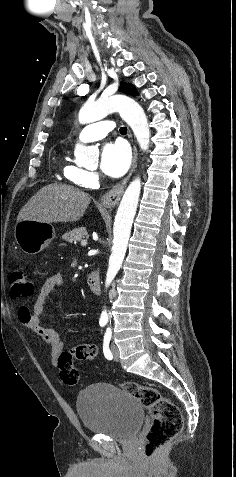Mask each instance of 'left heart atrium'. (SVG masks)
I'll use <instances>...</instances> for the list:
<instances>
[{"mask_svg":"<svg viewBox=\"0 0 236 477\" xmlns=\"http://www.w3.org/2000/svg\"><path fill=\"white\" fill-rule=\"evenodd\" d=\"M131 154L128 147L121 143H108L104 146L101 155V170L108 176L118 178L129 168Z\"/></svg>","mask_w":236,"mask_h":477,"instance_id":"obj_1","label":"left heart atrium"}]
</instances>
